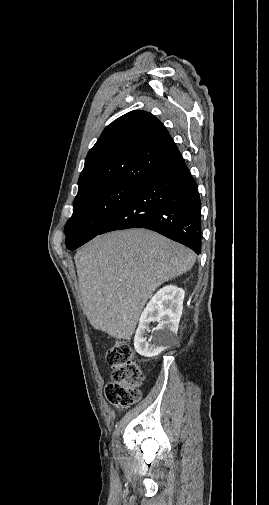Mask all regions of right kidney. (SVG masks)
Masks as SVG:
<instances>
[{"label":"right kidney","mask_w":269,"mask_h":505,"mask_svg":"<svg viewBox=\"0 0 269 505\" xmlns=\"http://www.w3.org/2000/svg\"><path fill=\"white\" fill-rule=\"evenodd\" d=\"M185 292L182 288L167 285L149 301L139 319L134 337V348L142 356L155 357L168 348L178 331ZM151 322H158L153 331V343L146 341Z\"/></svg>","instance_id":"1"}]
</instances>
